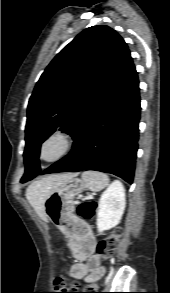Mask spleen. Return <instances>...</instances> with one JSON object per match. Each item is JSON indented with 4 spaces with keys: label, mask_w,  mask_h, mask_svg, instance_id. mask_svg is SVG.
<instances>
[{
    "label": "spleen",
    "mask_w": 170,
    "mask_h": 293,
    "mask_svg": "<svg viewBox=\"0 0 170 293\" xmlns=\"http://www.w3.org/2000/svg\"><path fill=\"white\" fill-rule=\"evenodd\" d=\"M81 177L84 186L93 192L101 191L109 184L108 176L102 172L85 171Z\"/></svg>",
    "instance_id": "1"
}]
</instances>
